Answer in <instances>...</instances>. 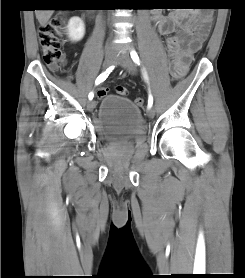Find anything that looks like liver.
Segmentation results:
<instances>
[{"instance_id": "6515ba94", "label": "liver", "mask_w": 245, "mask_h": 278, "mask_svg": "<svg viewBox=\"0 0 245 278\" xmlns=\"http://www.w3.org/2000/svg\"><path fill=\"white\" fill-rule=\"evenodd\" d=\"M36 18L41 26H45L53 14V10H36Z\"/></svg>"}]
</instances>
